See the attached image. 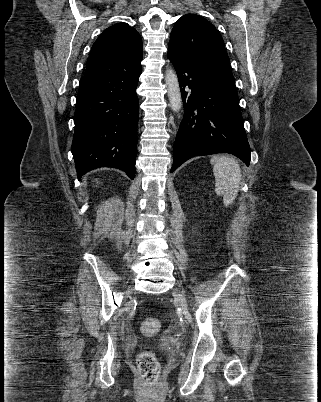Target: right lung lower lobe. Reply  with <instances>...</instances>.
Listing matches in <instances>:
<instances>
[{
    "label": "right lung lower lobe",
    "mask_w": 321,
    "mask_h": 402,
    "mask_svg": "<svg viewBox=\"0 0 321 402\" xmlns=\"http://www.w3.org/2000/svg\"><path fill=\"white\" fill-rule=\"evenodd\" d=\"M141 71L81 78L71 148L78 177L96 168L114 167L134 179L139 113L136 88Z\"/></svg>",
    "instance_id": "right-lung-lower-lobe-1"
}]
</instances>
